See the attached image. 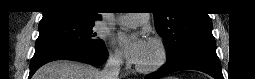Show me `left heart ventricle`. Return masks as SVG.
<instances>
[{
	"instance_id": "obj_1",
	"label": "left heart ventricle",
	"mask_w": 255,
	"mask_h": 79,
	"mask_svg": "<svg viewBox=\"0 0 255 79\" xmlns=\"http://www.w3.org/2000/svg\"><path fill=\"white\" fill-rule=\"evenodd\" d=\"M137 27L138 24L129 25L130 29H136ZM157 58H158L157 48L152 44H148L146 52L138 64L141 66H149L152 65L157 60Z\"/></svg>"
}]
</instances>
